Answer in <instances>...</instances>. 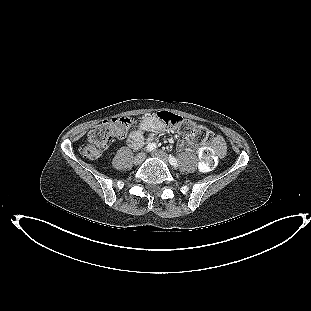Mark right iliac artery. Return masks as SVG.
I'll use <instances>...</instances> for the list:
<instances>
[{
  "mask_svg": "<svg viewBox=\"0 0 311 311\" xmlns=\"http://www.w3.org/2000/svg\"><path fill=\"white\" fill-rule=\"evenodd\" d=\"M146 151L150 152L152 150H155L156 149V144L155 143H150L146 146Z\"/></svg>",
  "mask_w": 311,
  "mask_h": 311,
  "instance_id": "right-iliac-artery-1",
  "label": "right iliac artery"
}]
</instances>
